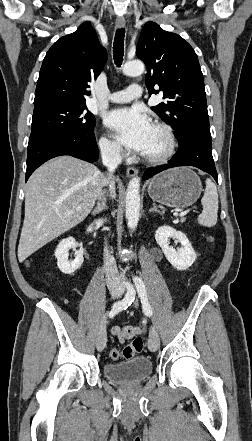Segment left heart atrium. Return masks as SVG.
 Wrapping results in <instances>:
<instances>
[{"label": "left heart atrium", "instance_id": "left-heart-atrium-1", "mask_svg": "<svg viewBox=\"0 0 252 441\" xmlns=\"http://www.w3.org/2000/svg\"><path fill=\"white\" fill-rule=\"evenodd\" d=\"M105 123L121 144L130 150L145 153L154 126L143 110L133 107L111 111Z\"/></svg>", "mask_w": 252, "mask_h": 441}]
</instances>
